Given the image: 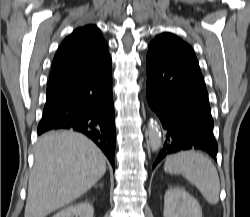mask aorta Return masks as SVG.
<instances>
[{
	"mask_svg": "<svg viewBox=\"0 0 250 217\" xmlns=\"http://www.w3.org/2000/svg\"><path fill=\"white\" fill-rule=\"evenodd\" d=\"M148 137L151 149L159 150L162 146V135L157 122H151L148 125Z\"/></svg>",
	"mask_w": 250,
	"mask_h": 217,
	"instance_id": "762f6f07",
	"label": "aorta"
}]
</instances>
